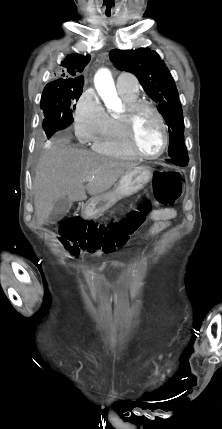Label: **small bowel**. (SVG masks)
I'll return each instance as SVG.
<instances>
[{
	"label": "small bowel",
	"mask_w": 222,
	"mask_h": 429,
	"mask_svg": "<svg viewBox=\"0 0 222 429\" xmlns=\"http://www.w3.org/2000/svg\"><path fill=\"white\" fill-rule=\"evenodd\" d=\"M176 216V211L173 208H159L154 210L153 212H151L149 219L150 221L153 222V224L150 226V228L148 229L147 233L145 234L147 237H153L156 234L160 233L161 231H163L164 229H166L169 225H170V221ZM125 246H128V242L119 247V248H123ZM117 248V249H119ZM114 249L113 251L117 250ZM111 251V252H113ZM105 252H96V253H92L93 256L95 257H99L102 254H104ZM108 268H113V269H121L123 268V264L119 263V262H104L101 264L100 266V270H106Z\"/></svg>",
	"instance_id": "small-bowel-1"
}]
</instances>
